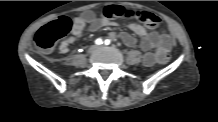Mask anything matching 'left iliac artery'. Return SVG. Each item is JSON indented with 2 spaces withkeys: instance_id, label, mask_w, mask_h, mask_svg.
<instances>
[{
  "instance_id": "1",
  "label": "left iliac artery",
  "mask_w": 218,
  "mask_h": 122,
  "mask_svg": "<svg viewBox=\"0 0 218 122\" xmlns=\"http://www.w3.org/2000/svg\"><path fill=\"white\" fill-rule=\"evenodd\" d=\"M111 43V41L109 39L105 40V45H109Z\"/></svg>"
}]
</instances>
